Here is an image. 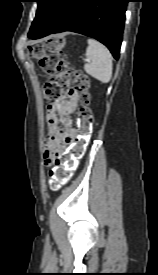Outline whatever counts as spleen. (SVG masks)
Masks as SVG:
<instances>
[{"instance_id":"1","label":"spleen","mask_w":158,"mask_h":275,"mask_svg":"<svg viewBox=\"0 0 158 275\" xmlns=\"http://www.w3.org/2000/svg\"><path fill=\"white\" fill-rule=\"evenodd\" d=\"M86 57L89 60L84 65L85 71L102 83H108L112 77V55L100 42L88 39Z\"/></svg>"}]
</instances>
